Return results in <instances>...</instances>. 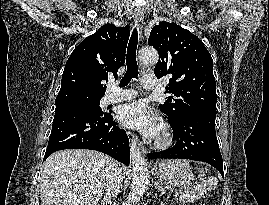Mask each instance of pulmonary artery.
<instances>
[{"mask_svg": "<svg viewBox=\"0 0 269 205\" xmlns=\"http://www.w3.org/2000/svg\"><path fill=\"white\" fill-rule=\"evenodd\" d=\"M144 88L153 89L157 87V79L154 76H144L141 79ZM109 91L102 100L103 105L117 103L132 99L136 96V92L131 89H120L115 83H111Z\"/></svg>", "mask_w": 269, "mask_h": 205, "instance_id": "pulmonary-artery-1", "label": "pulmonary artery"}]
</instances>
